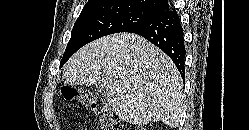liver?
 Returning <instances> with one entry per match:
<instances>
[{"mask_svg":"<svg viewBox=\"0 0 249 130\" xmlns=\"http://www.w3.org/2000/svg\"><path fill=\"white\" fill-rule=\"evenodd\" d=\"M62 79L68 85L101 84L108 104L128 123L179 124L180 73L164 52L136 34H115L85 45L66 63Z\"/></svg>","mask_w":249,"mask_h":130,"instance_id":"obj_1","label":"liver"}]
</instances>
